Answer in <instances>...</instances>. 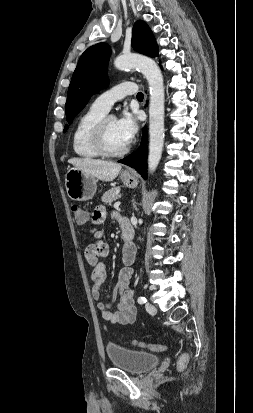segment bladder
I'll return each mask as SVG.
<instances>
[{
	"label": "bladder",
	"mask_w": 253,
	"mask_h": 413,
	"mask_svg": "<svg viewBox=\"0 0 253 413\" xmlns=\"http://www.w3.org/2000/svg\"><path fill=\"white\" fill-rule=\"evenodd\" d=\"M106 354L112 366L132 374H143L159 365L161 361L156 354L112 343L106 345Z\"/></svg>",
	"instance_id": "bladder-1"
}]
</instances>
